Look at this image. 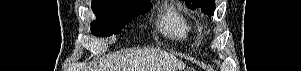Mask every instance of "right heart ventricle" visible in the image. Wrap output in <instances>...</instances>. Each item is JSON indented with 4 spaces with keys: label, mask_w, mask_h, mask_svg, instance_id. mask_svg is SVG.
<instances>
[{
    "label": "right heart ventricle",
    "mask_w": 301,
    "mask_h": 71,
    "mask_svg": "<svg viewBox=\"0 0 301 71\" xmlns=\"http://www.w3.org/2000/svg\"><path fill=\"white\" fill-rule=\"evenodd\" d=\"M158 27L164 35L177 41L187 40L194 32L188 19L175 6H169L165 10Z\"/></svg>",
    "instance_id": "right-heart-ventricle-1"
}]
</instances>
